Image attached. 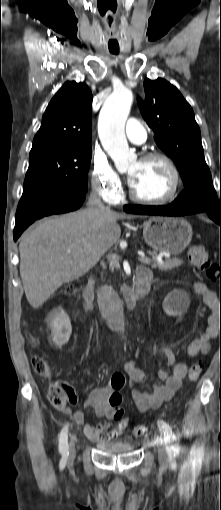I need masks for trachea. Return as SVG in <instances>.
Listing matches in <instances>:
<instances>
[{"label":"trachea","instance_id":"trachea-1","mask_svg":"<svg viewBox=\"0 0 221 510\" xmlns=\"http://www.w3.org/2000/svg\"><path fill=\"white\" fill-rule=\"evenodd\" d=\"M112 54L117 55L118 51H111Z\"/></svg>","mask_w":221,"mask_h":510}]
</instances>
